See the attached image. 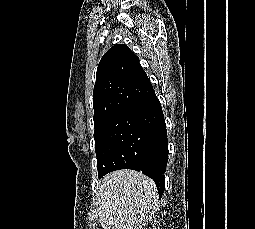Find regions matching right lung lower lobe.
<instances>
[{"mask_svg": "<svg viewBox=\"0 0 255 229\" xmlns=\"http://www.w3.org/2000/svg\"><path fill=\"white\" fill-rule=\"evenodd\" d=\"M125 112L142 120L146 127L154 132L140 163L126 169L141 171L152 178L161 198L165 188L164 173L168 161L167 132L161 104L155 95L142 103L129 107Z\"/></svg>", "mask_w": 255, "mask_h": 229, "instance_id": "right-lung-lower-lobe-1", "label": "right lung lower lobe"}]
</instances>
